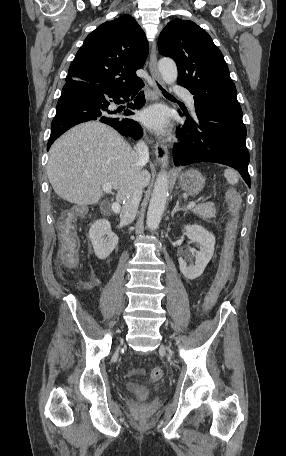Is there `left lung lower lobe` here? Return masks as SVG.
Listing matches in <instances>:
<instances>
[{
    "label": "left lung lower lobe",
    "mask_w": 286,
    "mask_h": 456,
    "mask_svg": "<svg viewBox=\"0 0 286 456\" xmlns=\"http://www.w3.org/2000/svg\"><path fill=\"white\" fill-rule=\"evenodd\" d=\"M196 118L185 112L186 123L177 131L176 166L215 162L236 169L250 187L249 152L242 114L211 105H195ZM182 115V114H181Z\"/></svg>",
    "instance_id": "0a47b994"
}]
</instances>
